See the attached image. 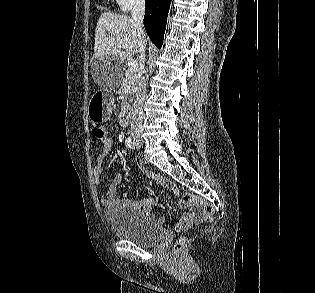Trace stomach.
Segmentation results:
<instances>
[{
	"label": "stomach",
	"instance_id": "obj_1",
	"mask_svg": "<svg viewBox=\"0 0 315 293\" xmlns=\"http://www.w3.org/2000/svg\"><path fill=\"white\" fill-rule=\"evenodd\" d=\"M113 102L114 98L111 93H100V91L95 93L88 109L89 118L92 122H105L108 120Z\"/></svg>",
	"mask_w": 315,
	"mask_h": 293
}]
</instances>
